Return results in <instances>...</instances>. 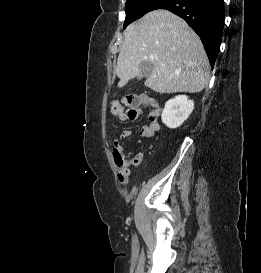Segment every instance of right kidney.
<instances>
[{"label": "right kidney", "mask_w": 261, "mask_h": 273, "mask_svg": "<svg viewBox=\"0 0 261 273\" xmlns=\"http://www.w3.org/2000/svg\"><path fill=\"white\" fill-rule=\"evenodd\" d=\"M194 109V101L186 95H178L166 102L161 115L162 122L170 129L180 127Z\"/></svg>", "instance_id": "right-kidney-1"}]
</instances>
